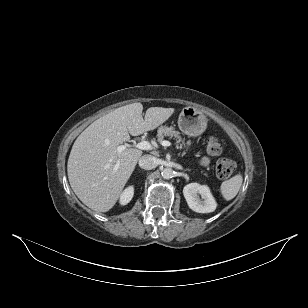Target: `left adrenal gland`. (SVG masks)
<instances>
[{"label":"left adrenal gland","instance_id":"left-adrenal-gland-1","mask_svg":"<svg viewBox=\"0 0 308 308\" xmlns=\"http://www.w3.org/2000/svg\"><path fill=\"white\" fill-rule=\"evenodd\" d=\"M186 171H191L190 169H186Z\"/></svg>","mask_w":308,"mask_h":308}]
</instances>
